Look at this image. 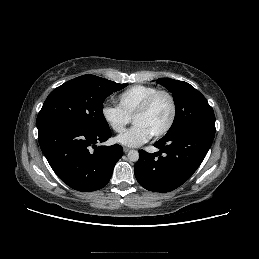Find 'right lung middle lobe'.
I'll list each match as a JSON object with an SVG mask.
<instances>
[{
	"label": "right lung middle lobe",
	"mask_w": 259,
	"mask_h": 259,
	"mask_svg": "<svg viewBox=\"0 0 259 259\" xmlns=\"http://www.w3.org/2000/svg\"><path fill=\"white\" fill-rule=\"evenodd\" d=\"M126 86L95 75H83L65 82L45 100L37 117L38 131L57 123H71L94 130L108 129L102 112L103 102Z\"/></svg>",
	"instance_id": "1"
}]
</instances>
